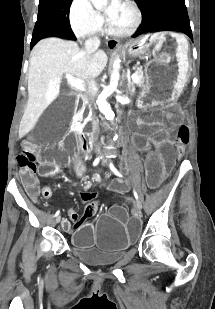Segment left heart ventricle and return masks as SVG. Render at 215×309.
Returning <instances> with one entry per match:
<instances>
[{"label":"left heart ventricle","instance_id":"b2bd125f","mask_svg":"<svg viewBox=\"0 0 215 309\" xmlns=\"http://www.w3.org/2000/svg\"><path fill=\"white\" fill-rule=\"evenodd\" d=\"M115 15H117V18H115L114 20L115 25H120V27H123V25H129L130 23L129 18H120L118 12H115Z\"/></svg>","mask_w":215,"mask_h":309}]
</instances>
